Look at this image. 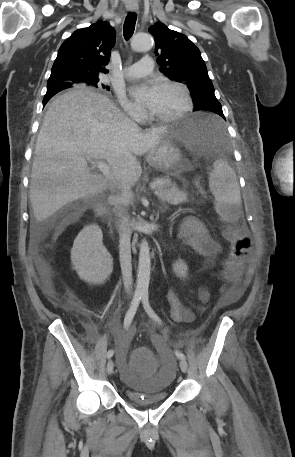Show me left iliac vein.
<instances>
[{
	"label": "left iliac vein",
	"instance_id": "1",
	"mask_svg": "<svg viewBox=\"0 0 295 457\" xmlns=\"http://www.w3.org/2000/svg\"><path fill=\"white\" fill-rule=\"evenodd\" d=\"M179 365H180V368H181L182 372L186 373L187 369H188L187 362L184 359H180L179 360Z\"/></svg>",
	"mask_w": 295,
	"mask_h": 457
}]
</instances>
